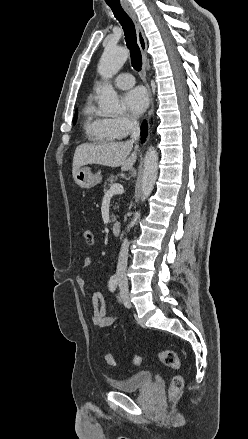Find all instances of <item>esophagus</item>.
Wrapping results in <instances>:
<instances>
[{"label": "esophagus", "mask_w": 248, "mask_h": 439, "mask_svg": "<svg viewBox=\"0 0 248 439\" xmlns=\"http://www.w3.org/2000/svg\"><path fill=\"white\" fill-rule=\"evenodd\" d=\"M124 10L127 12V14L130 16V18L132 19V21L134 22L135 28H136V34H137V42L141 51V55H142V73L144 76V79L146 81L148 90H149V94H150V98H151V106L148 112V121L150 120L152 111H153V101H152V96H151V90L149 87V84L147 82V72L149 70V61L147 58V41L146 38L144 36V32L143 29L141 27L140 22L138 21V18L136 16V13L134 12L133 8L128 5V4H124L123 5Z\"/></svg>", "instance_id": "34e87169"}]
</instances>
